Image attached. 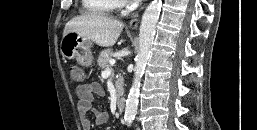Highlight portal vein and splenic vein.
<instances>
[{"mask_svg": "<svg viewBox=\"0 0 257 130\" xmlns=\"http://www.w3.org/2000/svg\"><path fill=\"white\" fill-rule=\"evenodd\" d=\"M110 65H114L116 63V61L114 59H111L109 61ZM106 72H110V69H108Z\"/></svg>", "mask_w": 257, "mask_h": 130, "instance_id": "portal-vein-and-splenic-vein-1", "label": "portal vein and splenic vein"}]
</instances>
